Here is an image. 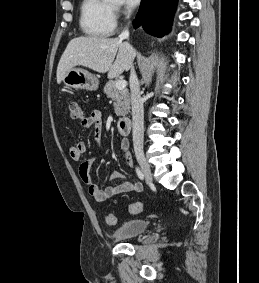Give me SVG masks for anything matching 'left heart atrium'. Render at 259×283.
Returning a JSON list of instances; mask_svg holds the SVG:
<instances>
[{
    "instance_id": "1",
    "label": "left heart atrium",
    "mask_w": 259,
    "mask_h": 283,
    "mask_svg": "<svg viewBox=\"0 0 259 283\" xmlns=\"http://www.w3.org/2000/svg\"><path fill=\"white\" fill-rule=\"evenodd\" d=\"M126 1V5L129 7V8H135L140 0H125Z\"/></svg>"
}]
</instances>
